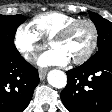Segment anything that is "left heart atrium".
Masks as SVG:
<instances>
[{"instance_id":"left-heart-atrium-1","label":"left heart atrium","mask_w":112,"mask_h":112,"mask_svg":"<svg viewBox=\"0 0 112 112\" xmlns=\"http://www.w3.org/2000/svg\"><path fill=\"white\" fill-rule=\"evenodd\" d=\"M38 64L42 67L59 65L63 66L69 62V58L60 50L52 49L44 54H42L38 60Z\"/></svg>"}]
</instances>
